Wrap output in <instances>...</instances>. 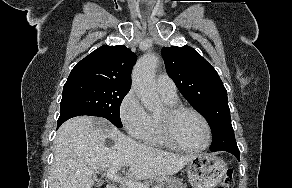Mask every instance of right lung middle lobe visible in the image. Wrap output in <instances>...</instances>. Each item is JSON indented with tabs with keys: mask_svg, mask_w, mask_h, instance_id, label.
Instances as JSON below:
<instances>
[{
	"mask_svg": "<svg viewBox=\"0 0 292 188\" xmlns=\"http://www.w3.org/2000/svg\"><path fill=\"white\" fill-rule=\"evenodd\" d=\"M130 88L91 80L67 81L63 88L60 114L78 112L108 119L121 128L120 104Z\"/></svg>",
	"mask_w": 292,
	"mask_h": 188,
	"instance_id": "dd1d6c3e",
	"label": "right lung middle lobe"
}]
</instances>
